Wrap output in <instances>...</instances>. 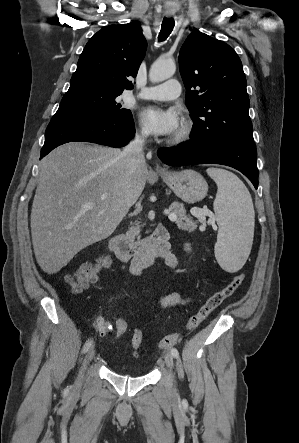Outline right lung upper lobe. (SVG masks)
Listing matches in <instances>:
<instances>
[{
	"instance_id": "right-lung-upper-lobe-1",
	"label": "right lung upper lobe",
	"mask_w": 299,
	"mask_h": 443,
	"mask_svg": "<svg viewBox=\"0 0 299 443\" xmlns=\"http://www.w3.org/2000/svg\"><path fill=\"white\" fill-rule=\"evenodd\" d=\"M147 43L134 23L106 26L86 44L70 88L92 87L123 92L132 89Z\"/></svg>"
}]
</instances>
